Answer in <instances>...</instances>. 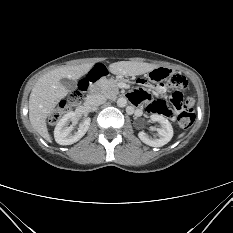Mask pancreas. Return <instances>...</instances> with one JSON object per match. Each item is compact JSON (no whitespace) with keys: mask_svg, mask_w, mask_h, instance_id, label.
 I'll use <instances>...</instances> for the list:
<instances>
[{"mask_svg":"<svg viewBox=\"0 0 233 233\" xmlns=\"http://www.w3.org/2000/svg\"><path fill=\"white\" fill-rule=\"evenodd\" d=\"M118 83V80L115 79H101L99 82L101 92L104 93L107 97L113 98L116 94H118Z\"/></svg>","mask_w":233,"mask_h":233,"instance_id":"cf45deb5","label":"pancreas"}]
</instances>
